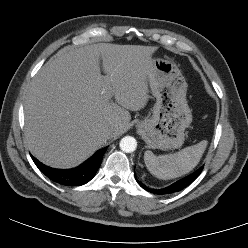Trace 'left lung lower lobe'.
Here are the masks:
<instances>
[{"mask_svg": "<svg viewBox=\"0 0 248 248\" xmlns=\"http://www.w3.org/2000/svg\"><path fill=\"white\" fill-rule=\"evenodd\" d=\"M202 169H203V167L199 168L198 170H196L192 174L184 177L183 179L171 184L170 186H167V187L161 188V189L148 188L143 183H141L137 179V177H136V180H137L138 184L148 192L158 194V195L172 194L174 192H179L182 189H184L185 187H187L188 185H190L201 174Z\"/></svg>", "mask_w": 248, "mask_h": 248, "instance_id": "1", "label": "left lung lower lobe"}]
</instances>
